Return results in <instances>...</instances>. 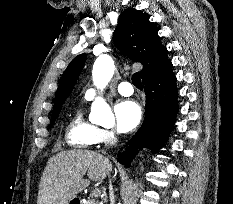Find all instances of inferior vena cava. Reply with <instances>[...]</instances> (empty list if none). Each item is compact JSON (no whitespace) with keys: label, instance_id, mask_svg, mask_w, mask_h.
<instances>
[{"label":"inferior vena cava","instance_id":"inferior-vena-cava-1","mask_svg":"<svg viewBox=\"0 0 233 204\" xmlns=\"http://www.w3.org/2000/svg\"><path fill=\"white\" fill-rule=\"evenodd\" d=\"M117 142V138H114L112 141H111V144H115ZM109 190H110V201H111V204H114V194H113V189H112V185L110 184L109 186Z\"/></svg>","mask_w":233,"mask_h":204}]
</instances>
